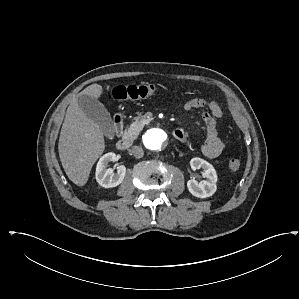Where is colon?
I'll return each mask as SVG.
<instances>
[{"label": "colon", "instance_id": "colon-1", "mask_svg": "<svg viewBox=\"0 0 299 299\" xmlns=\"http://www.w3.org/2000/svg\"><path fill=\"white\" fill-rule=\"evenodd\" d=\"M156 92L157 86L155 84L139 83L128 86H117L108 93V97L115 101L125 102L148 98L155 95ZM240 166L241 161L238 158L229 160V168L231 170H238Z\"/></svg>", "mask_w": 299, "mask_h": 299}]
</instances>
